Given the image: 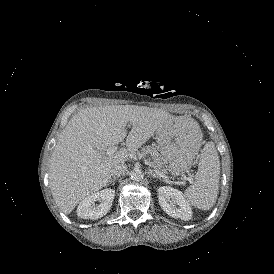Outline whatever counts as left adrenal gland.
I'll return each mask as SVG.
<instances>
[{"label":"left adrenal gland","mask_w":274,"mask_h":274,"mask_svg":"<svg viewBox=\"0 0 274 274\" xmlns=\"http://www.w3.org/2000/svg\"><path fill=\"white\" fill-rule=\"evenodd\" d=\"M148 174L151 175L153 178H157L159 180H162V178L159 175H156L155 172L151 169H149Z\"/></svg>","instance_id":"a2214340"}]
</instances>
